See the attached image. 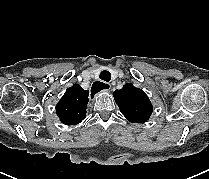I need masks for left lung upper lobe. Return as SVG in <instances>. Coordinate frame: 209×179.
Masks as SVG:
<instances>
[{
	"instance_id": "obj_1",
	"label": "left lung upper lobe",
	"mask_w": 209,
	"mask_h": 179,
	"mask_svg": "<svg viewBox=\"0 0 209 179\" xmlns=\"http://www.w3.org/2000/svg\"><path fill=\"white\" fill-rule=\"evenodd\" d=\"M121 113L133 123L146 122L153 112V106L143 90L128 83L113 93Z\"/></svg>"
}]
</instances>
